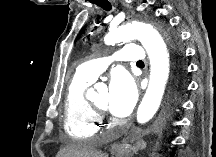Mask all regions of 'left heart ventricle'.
<instances>
[{
	"label": "left heart ventricle",
	"instance_id": "1",
	"mask_svg": "<svg viewBox=\"0 0 216 157\" xmlns=\"http://www.w3.org/2000/svg\"><path fill=\"white\" fill-rule=\"evenodd\" d=\"M108 100V93L107 91H103L97 95L94 102L97 103L99 106L106 108Z\"/></svg>",
	"mask_w": 216,
	"mask_h": 157
}]
</instances>
